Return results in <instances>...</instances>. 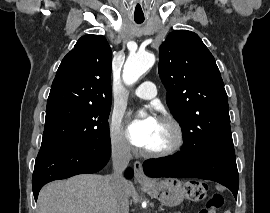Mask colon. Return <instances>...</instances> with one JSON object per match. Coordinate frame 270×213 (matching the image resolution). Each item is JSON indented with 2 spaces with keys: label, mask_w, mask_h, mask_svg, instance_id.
<instances>
[{
  "label": "colon",
  "mask_w": 270,
  "mask_h": 213,
  "mask_svg": "<svg viewBox=\"0 0 270 213\" xmlns=\"http://www.w3.org/2000/svg\"><path fill=\"white\" fill-rule=\"evenodd\" d=\"M184 193L194 202L202 200L206 195V186L198 180H189L184 184ZM223 205V197L219 193L213 194L199 213H217Z\"/></svg>",
  "instance_id": "1"
}]
</instances>
